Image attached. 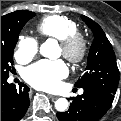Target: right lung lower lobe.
Returning a JSON list of instances; mask_svg holds the SVG:
<instances>
[{"label":"right lung lower lobe","instance_id":"1","mask_svg":"<svg viewBox=\"0 0 121 121\" xmlns=\"http://www.w3.org/2000/svg\"><path fill=\"white\" fill-rule=\"evenodd\" d=\"M1 78V121H18L26 113L30 101L29 87L21 84L19 89Z\"/></svg>","mask_w":121,"mask_h":121}]
</instances>
